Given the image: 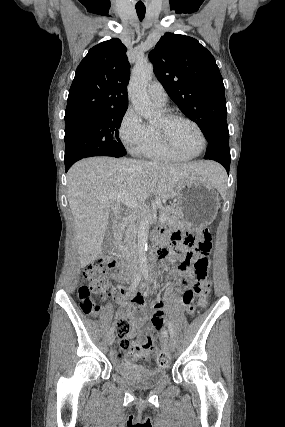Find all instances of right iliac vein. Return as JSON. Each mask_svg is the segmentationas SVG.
Returning a JSON list of instances; mask_svg holds the SVG:
<instances>
[{"mask_svg":"<svg viewBox=\"0 0 285 427\" xmlns=\"http://www.w3.org/2000/svg\"><path fill=\"white\" fill-rule=\"evenodd\" d=\"M114 339H115L114 335L110 334L107 339L108 345H112L114 343Z\"/></svg>","mask_w":285,"mask_h":427,"instance_id":"1","label":"right iliac vein"}]
</instances>
